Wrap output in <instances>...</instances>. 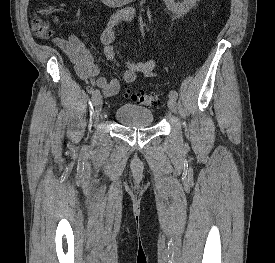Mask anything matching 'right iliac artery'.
Instances as JSON below:
<instances>
[{"instance_id":"obj_1","label":"right iliac artery","mask_w":275,"mask_h":263,"mask_svg":"<svg viewBox=\"0 0 275 263\" xmlns=\"http://www.w3.org/2000/svg\"><path fill=\"white\" fill-rule=\"evenodd\" d=\"M99 96H100L99 90L93 91V94H92V103L93 104H95V102H96V100L98 99Z\"/></svg>"}]
</instances>
